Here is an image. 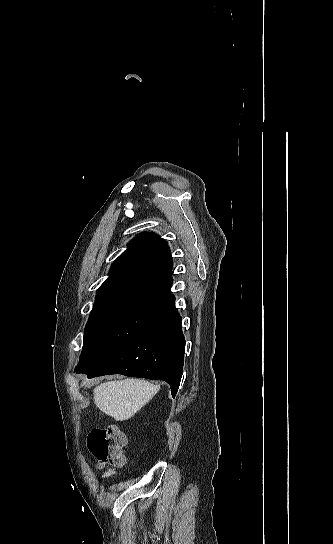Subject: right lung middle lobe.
<instances>
[{
	"mask_svg": "<svg viewBox=\"0 0 333 544\" xmlns=\"http://www.w3.org/2000/svg\"><path fill=\"white\" fill-rule=\"evenodd\" d=\"M170 304L147 298H125L94 304L85 327L77 367L106 358L144 331Z\"/></svg>",
	"mask_w": 333,
	"mask_h": 544,
	"instance_id": "obj_1",
	"label": "right lung middle lobe"
}]
</instances>
